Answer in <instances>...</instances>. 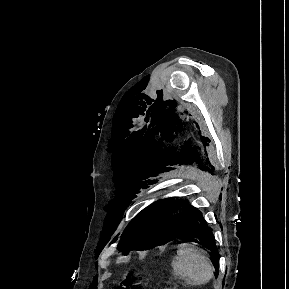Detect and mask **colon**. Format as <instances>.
I'll use <instances>...</instances> for the list:
<instances>
[{
	"instance_id": "1",
	"label": "colon",
	"mask_w": 289,
	"mask_h": 289,
	"mask_svg": "<svg viewBox=\"0 0 289 289\" xmlns=\"http://www.w3.org/2000/svg\"><path fill=\"white\" fill-rule=\"evenodd\" d=\"M142 289V284L137 279H129L119 284L116 289Z\"/></svg>"
}]
</instances>
